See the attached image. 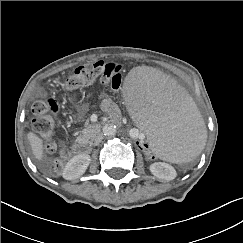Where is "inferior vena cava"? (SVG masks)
<instances>
[{
  "instance_id": "1",
  "label": "inferior vena cava",
  "mask_w": 243,
  "mask_h": 243,
  "mask_svg": "<svg viewBox=\"0 0 243 243\" xmlns=\"http://www.w3.org/2000/svg\"><path fill=\"white\" fill-rule=\"evenodd\" d=\"M102 139H103V134H102V133L98 134V135L95 136V138L93 139V141H92V145H94V146L99 145L100 142L102 141Z\"/></svg>"
}]
</instances>
